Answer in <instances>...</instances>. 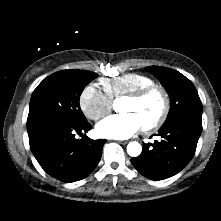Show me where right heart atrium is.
Masks as SVG:
<instances>
[{
  "instance_id": "d8ad5b80",
  "label": "right heart atrium",
  "mask_w": 221,
  "mask_h": 221,
  "mask_svg": "<svg viewBox=\"0 0 221 221\" xmlns=\"http://www.w3.org/2000/svg\"><path fill=\"white\" fill-rule=\"evenodd\" d=\"M79 106L90 120L98 121L112 109V100L95 84H88L79 97Z\"/></svg>"
}]
</instances>
